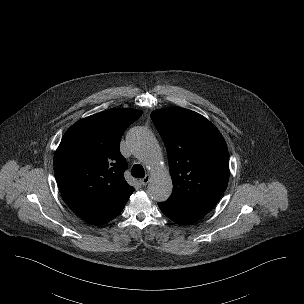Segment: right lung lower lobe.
I'll use <instances>...</instances> for the list:
<instances>
[{"label": "right lung lower lobe", "mask_w": 304, "mask_h": 304, "mask_svg": "<svg viewBox=\"0 0 304 304\" xmlns=\"http://www.w3.org/2000/svg\"><path fill=\"white\" fill-rule=\"evenodd\" d=\"M124 208V207H123ZM123 208H121L119 211H117L112 217H110L105 223L111 221L112 219H114L116 216H118L120 214V212L123 210Z\"/></svg>", "instance_id": "obj_1"}]
</instances>
